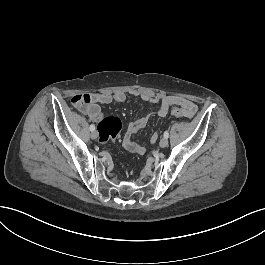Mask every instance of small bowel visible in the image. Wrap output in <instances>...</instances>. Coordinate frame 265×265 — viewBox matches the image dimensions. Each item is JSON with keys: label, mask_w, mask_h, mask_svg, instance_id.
<instances>
[{"label": "small bowel", "mask_w": 265, "mask_h": 265, "mask_svg": "<svg viewBox=\"0 0 265 265\" xmlns=\"http://www.w3.org/2000/svg\"><path fill=\"white\" fill-rule=\"evenodd\" d=\"M91 96V95H90ZM141 99L149 104H158L156 111L158 116L164 117L168 114L166 110V103L169 100H176L179 105L185 110L186 118H191L197 111V105L184 97L175 95L154 96L148 93L141 94ZM91 103L83 106L81 112L86 115L91 121L97 122L102 117L101 105L112 103H123L126 100V94L123 91H116L114 93H95L91 96ZM90 99V100H91ZM149 121V116L138 118L130 122L123 135V147L133 154L143 155L146 151L145 147L132 140V137L141 129H143ZM158 139V133L154 132L150 136V142L155 144Z\"/></svg>", "instance_id": "c3829d8e"}]
</instances>
